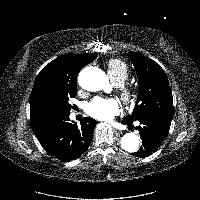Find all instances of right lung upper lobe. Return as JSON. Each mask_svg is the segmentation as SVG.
I'll list each match as a JSON object with an SVG mask.
<instances>
[{
    "label": "right lung upper lobe",
    "instance_id": "1",
    "mask_svg": "<svg viewBox=\"0 0 200 200\" xmlns=\"http://www.w3.org/2000/svg\"><path fill=\"white\" fill-rule=\"evenodd\" d=\"M96 57L95 54H66L50 62L38 74L30 101L43 88L60 87L73 81L77 82L79 71Z\"/></svg>",
    "mask_w": 200,
    "mask_h": 200
}]
</instances>
